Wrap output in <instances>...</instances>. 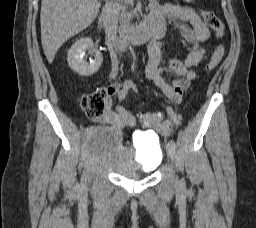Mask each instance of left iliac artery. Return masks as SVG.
<instances>
[{
  "instance_id": "obj_1",
  "label": "left iliac artery",
  "mask_w": 256,
  "mask_h": 228,
  "mask_svg": "<svg viewBox=\"0 0 256 228\" xmlns=\"http://www.w3.org/2000/svg\"><path fill=\"white\" fill-rule=\"evenodd\" d=\"M170 145H172L173 147H176V143L174 140H169L168 142Z\"/></svg>"
}]
</instances>
